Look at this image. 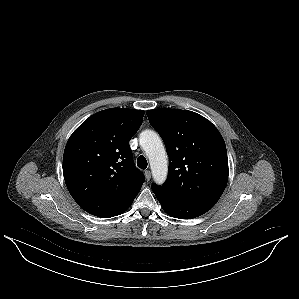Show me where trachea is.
<instances>
[{"label":"trachea","instance_id":"trachea-1","mask_svg":"<svg viewBox=\"0 0 299 299\" xmlns=\"http://www.w3.org/2000/svg\"><path fill=\"white\" fill-rule=\"evenodd\" d=\"M147 160L144 156H139L138 159H137V166L141 169H146L147 168Z\"/></svg>","mask_w":299,"mask_h":299}]
</instances>
